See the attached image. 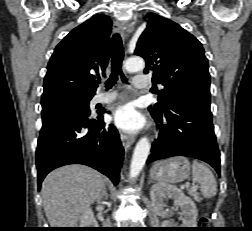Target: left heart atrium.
Masks as SVG:
<instances>
[{
  "label": "left heart atrium",
  "instance_id": "39dd6f15",
  "mask_svg": "<svg viewBox=\"0 0 252 231\" xmlns=\"http://www.w3.org/2000/svg\"><path fill=\"white\" fill-rule=\"evenodd\" d=\"M113 121L118 128L127 132L138 131L145 124V119L142 114L131 104H125L119 107L113 115Z\"/></svg>",
  "mask_w": 252,
  "mask_h": 231
}]
</instances>
